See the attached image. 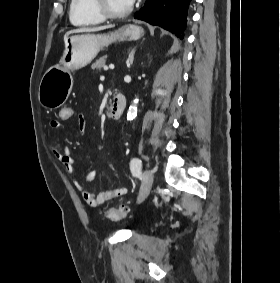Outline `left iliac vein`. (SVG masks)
<instances>
[{
	"mask_svg": "<svg viewBox=\"0 0 280 283\" xmlns=\"http://www.w3.org/2000/svg\"><path fill=\"white\" fill-rule=\"evenodd\" d=\"M153 184V173L146 169L142 174V186L138 195V202H142L150 193Z\"/></svg>",
	"mask_w": 280,
	"mask_h": 283,
	"instance_id": "left-iliac-vein-1",
	"label": "left iliac vein"
}]
</instances>
